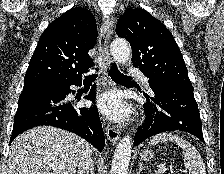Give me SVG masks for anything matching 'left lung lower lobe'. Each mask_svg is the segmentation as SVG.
Here are the masks:
<instances>
[{
  "label": "left lung lower lobe",
  "instance_id": "1",
  "mask_svg": "<svg viewBox=\"0 0 224 174\" xmlns=\"http://www.w3.org/2000/svg\"><path fill=\"white\" fill-rule=\"evenodd\" d=\"M154 96L143 93L146 119L134 137L137 146L145 139L166 131H185L204 142L198 105L192 85L149 84ZM152 100L153 102H150Z\"/></svg>",
  "mask_w": 224,
  "mask_h": 174
}]
</instances>
